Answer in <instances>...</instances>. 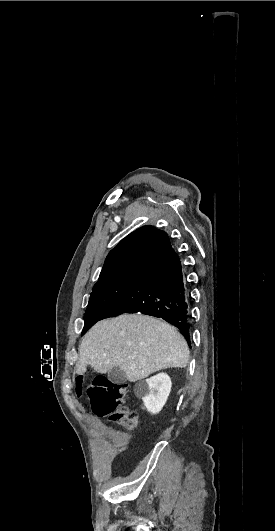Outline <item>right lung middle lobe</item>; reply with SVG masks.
Here are the masks:
<instances>
[{"label": "right lung middle lobe", "mask_w": 275, "mask_h": 531, "mask_svg": "<svg viewBox=\"0 0 275 531\" xmlns=\"http://www.w3.org/2000/svg\"><path fill=\"white\" fill-rule=\"evenodd\" d=\"M145 267H133L99 278L94 285L84 316L82 335L119 299L138 279Z\"/></svg>", "instance_id": "obj_1"}]
</instances>
